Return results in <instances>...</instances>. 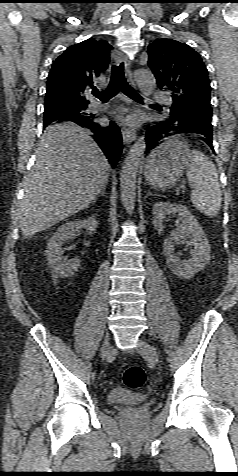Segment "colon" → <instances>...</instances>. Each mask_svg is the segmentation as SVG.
<instances>
[{
	"mask_svg": "<svg viewBox=\"0 0 238 476\" xmlns=\"http://www.w3.org/2000/svg\"><path fill=\"white\" fill-rule=\"evenodd\" d=\"M122 381L130 388H140L146 382V373L139 366H130L123 371Z\"/></svg>",
	"mask_w": 238,
	"mask_h": 476,
	"instance_id": "5ec220e1",
	"label": "colon"
}]
</instances>
